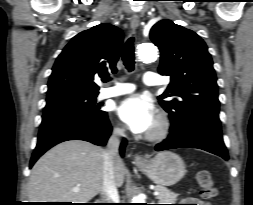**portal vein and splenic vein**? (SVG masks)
<instances>
[{
  "instance_id": "18ae733b",
  "label": "portal vein and splenic vein",
  "mask_w": 253,
  "mask_h": 205,
  "mask_svg": "<svg viewBox=\"0 0 253 205\" xmlns=\"http://www.w3.org/2000/svg\"><path fill=\"white\" fill-rule=\"evenodd\" d=\"M79 189H80V185H77V186H75V187L73 188L74 191H78ZM153 195H154V196H158V195H159V192H158L157 190H155V191L153 192Z\"/></svg>"
}]
</instances>
